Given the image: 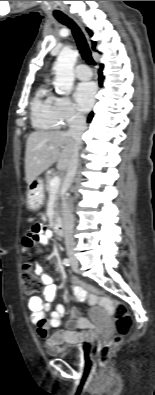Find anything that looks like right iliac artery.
Listing matches in <instances>:
<instances>
[{
  "label": "right iliac artery",
  "instance_id": "obj_1",
  "mask_svg": "<svg viewBox=\"0 0 155 395\" xmlns=\"http://www.w3.org/2000/svg\"><path fill=\"white\" fill-rule=\"evenodd\" d=\"M63 264H64L65 266H70L71 261H70L68 258H65V259L63 260Z\"/></svg>",
  "mask_w": 155,
  "mask_h": 395
}]
</instances>
